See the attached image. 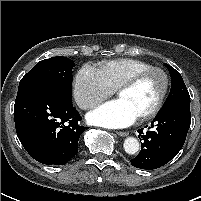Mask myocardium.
Returning a JSON list of instances; mask_svg holds the SVG:
<instances>
[{"label": "myocardium", "mask_w": 201, "mask_h": 201, "mask_svg": "<svg viewBox=\"0 0 201 201\" xmlns=\"http://www.w3.org/2000/svg\"><path fill=\"white\" fill-rule=\"evenodd\" d=\"M154 72H157L162 76V79H163L162 89L155 105L149 111H147L146 113L138 117L140 121H146L155 117L162 109L168 90H169V85H170V79H169L168 73L160 67L152 66V67L140 70L136 72L135 74L131 75L129 78L124 80L116 89V94L119 96L120 93H122L123 91L127 89H130L131 87L136 85L139 81H141L144 77Z\"/></svg>", "instance_id": "1"}]
</instances>
